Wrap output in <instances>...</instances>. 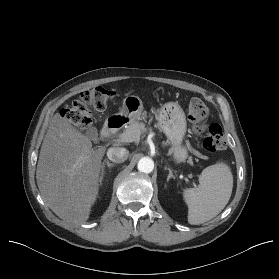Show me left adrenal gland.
<instances>
[{
  "label": "left adrenal gland",
  "mask_w": 279,
  "mask_h": 279,
  "mask_svg": "<svg viewBox=\"0 0 279 279\" xmlns=\"http://www.w3.org/2000/svg\"><path fill=\"white\" fill-rule=\"evenodd\" d=\"M165 169L169 171V174L167 176V181H169L171 178H175L174 175H173V172L170 168L165 167Z\"/></svg>",
  "instance_id": "left-adrenal-gland-1"
}]
</instances>
